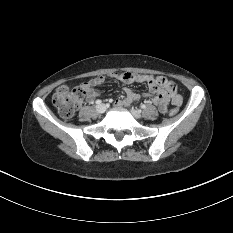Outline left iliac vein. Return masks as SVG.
Instances as JSON below:
<instances>
[{"mask_svg": "<svg viewBox=\"0 0 233 233\" xmlns=\"http://www.w3.org/2000/svg\"><path fill=\"white\" fill-rule=\"evenodd\" d=\"M131 113L132 115L137 118V119H140L142 117V114H141V111L140 110H137V109H134L132 108L131 109Z\"/></svg>", "mask_w": 233, "mask_h": 233, "instance_id": "1", "label": "left iliac vein"}]
</instances>
